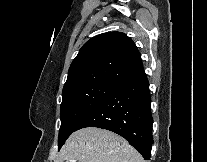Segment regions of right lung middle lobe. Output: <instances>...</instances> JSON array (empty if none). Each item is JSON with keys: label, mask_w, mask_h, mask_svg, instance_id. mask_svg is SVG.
I'll list each match as a JSON object with an SVG mask.
<instances>
[{"label": "right lung middle lobe", "mask_w": 207, "mask_h": 162, "mask_svg": "<svg viewBox=\"0 0 207 162\" xmlns=\"http://www.w3.org/2000/svg\"><path fill=\"white\" fill-rule=\"evenodd\" d=\"M115 86L95 84L63 92L60 107L61 127L59 130L58 149L79 123L105 98Z\"/></svg>", "instance_id": "dd1d6c3e"}]
</instances>
